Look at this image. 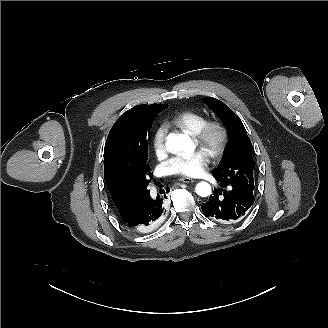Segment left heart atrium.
<instances>
[{"instance_id": "39dd6f15", "label": "left heart atrium", "mask_w": 328, "mask_h": 328, "mask_svg": "<svg viewBox=\"0 0 328 328\" xmlns=\"http://www.w3.org/2000/svg\"><path fill=\"white\" fill-rule=\"evenodd\" d=\"M208 156L202 151H193L176 157L167 163L172 174H181L188 177H199L206 171Z\"/></svg>"}]
</instances>
